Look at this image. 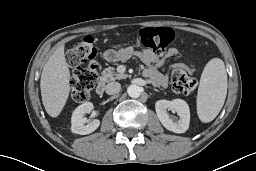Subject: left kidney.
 <instances>
[{"label": "left kidney", "instance_id": "5707ae66", "mask_svg": "<svg viewBox=\"0 0 256 171\" xmlns=\"http://www.w3.org/2000/svg\"><path fill=\"white\" fill-rule=\"evenodd\" d=\"M155 110L162 125L174 133H184L189 128L190 110L188 104L182 99L172 101L159 100L155 103ZM168 111L176 113L178 120L170 117Z\"/></svg>", "mask_w": 256, "mask_h": 171}]
</instances>
